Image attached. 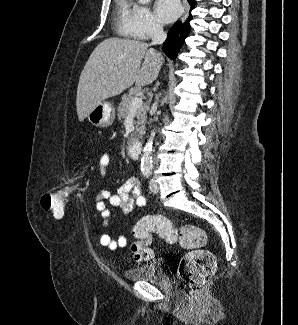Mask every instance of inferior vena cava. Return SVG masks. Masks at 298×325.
I'll return each mask as SVG.
<instances>
[{
  "label": "inferior vena cava",
  "mask_w": 298,
  "mask_h": 325,
  "mask_svg": "<svg viewBox=\"0 0 298 325\" xmlns=\"http://www.w3.org/2000/svg\"><path fill=\"white\" fill-rule=\"evenodd\" d=\"M166 38H167V32H165L163 26L155 22L153 32H152V40L150 44H163ZM157 106H158V100L154 102L153 108H157Z\"/></svg>",
  "instance_id": "inferior-vena-cava-1"
}]
</instances>
